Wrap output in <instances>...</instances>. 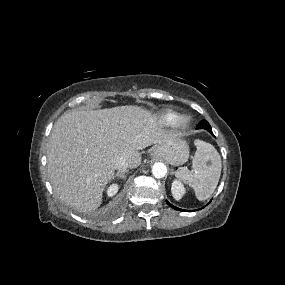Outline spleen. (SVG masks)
Here are the masks:
<instances>
[{"instance_id": "spleen-1", "label": "spleen", "mask_w": 285, "mask_h": 285, "mask_svg": "<svg viewBox=\"0 0 285 285\" xmlns=\"http://www.w3.org/2000/svg\"><path fill=\"white\" fill-rule=\"evenodd\" d=\"M196 152L192 161V169H179L175 176L192 187L200 201L208 199L214 192L221 175V158L210 143L201 140L194 142Z\"/></svg>"}]
</instances>
